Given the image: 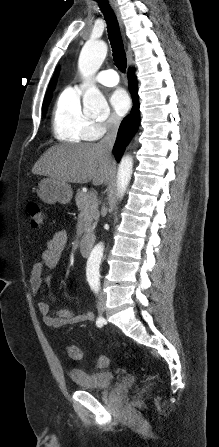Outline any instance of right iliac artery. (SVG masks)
<instances>
[{
    "label": "right iliac artery",
    "instance_id": "82829eb1",
    "mask_svg": "<svg viewBox=\"0 0 219 447\" xmlns=\"http://www.w3.org/2000/svg\"><path fill=\"white\" fill-rule=\"evenodd\" d=\"M103 321H104V319H103L102 317H99V318L97 319V321H96L97 326H98V327H101L102 324H103Z\"/></svg>",
    "mask_w": 219,
    "mask_h": 447
}]
</instances>
